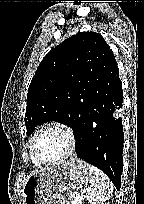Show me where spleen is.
<instances>
[{
    "label": "spleen",
    "instance_id": "1",
    "mask_svg": "<svg viewBox=\"0 0 144 204\" xmlns=\"http://www.w3.org/2000/svg\"><path fill=\"white\" fill-rule=\"evenodd\" d=\"M85 193L90 204H103L113 193L112 182L103 171L89 165V187Z\"/></svg>",
    "mask_w": 144,
    "mask_h": 204
}]
</instances>
